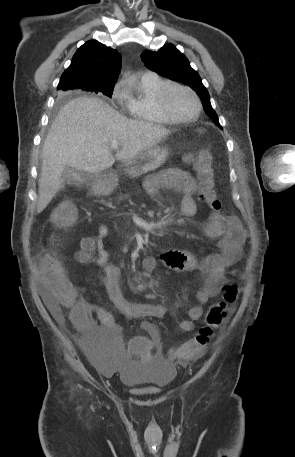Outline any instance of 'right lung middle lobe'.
<instances>
[{"label":"right lung middle lobe","instance_id":"1","mask_svg":"<svg viewBox=\"0 0 295 457\" xmlns=\"http://www.w3.org/2000/svg\"><path fill=\"white\" fill-rule=\"evenodd\" d=\"M72 87L73 88L84 89L86 91H89L88 89L90 88V86H88L85 83L74 84V85H72ZM113 89H114V85H106V86H102V87H99V88H95V89L91 90L90 92L102 93L103 95H106V96L111 98L112 97V93H113Z\"/></svg>","mask_w":295,"mask_h":457}]
</instances>
